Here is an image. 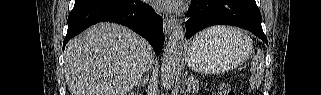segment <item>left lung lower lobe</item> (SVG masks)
Here are the masks:
<instances>
[{
	"label": "left lung lower lobe",
	"mask_w": 321,
	"mask_h": 95,
	"mask_svg": "<svg viewBox=\"0 0 321 95\" xmlns=\"http://www.w3.org/2000/svg\"><path fill=\"white\" fill-rule=\"evenodd\" d=\"M186 38L213 25L244 28L267 43L261 26V13L255 0H191L187 12Z\"/></svg>",
	"instance_id": "0a47b994"
}]
</instances>
